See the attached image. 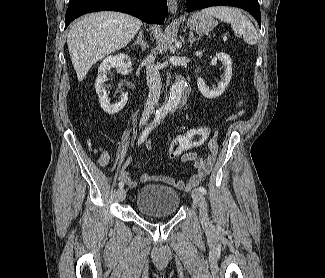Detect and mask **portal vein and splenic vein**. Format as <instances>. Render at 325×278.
Returning a JSON list of instances; mask_svg holds the SVG:
<instances>
[{
  "instance_id": "portal-vein-and-splenic-vein-1",
  "label": "portal vein and splenic vein",
  "mask_w": 325,
  "mask_h": 278,
  "mask_svg": "<svg viewBox=\"0 0 325 278\" xmlns=\"http://www.w3.org/2000/svg\"><path fill=\"white\" fill-rule=\"evenodd\" d=\"M223 40H224V41H226V40H227V37H226V36H224V37H223Z\"/></svg>"
}]
</instances>
